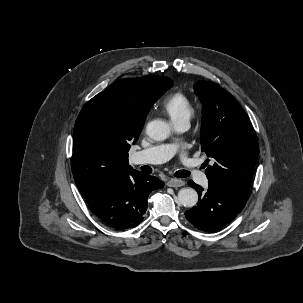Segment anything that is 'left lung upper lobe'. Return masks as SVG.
<instances>
[{
    "label": "left lung upper lobe",
    "instance_id": "obj_1",
    "mask_svg": "<svg viewBox=\"0 0 303 303\" xmlns=\"http://www.w3.org/2000/svg\"><path fill=\"white\" fill-rule=\"evenodd\" d=\"M203 105L201 150L213 159L205 162L208 180L248 199L259 154L252 124L230 93L204 80L194 86Z\"/></svg>",
    "mask_w": 303,
    "mask_h": 303
}]
</instances>
